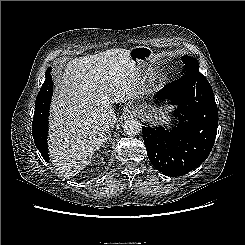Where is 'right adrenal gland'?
Instances as JSON below:
<instances>
[{"label": "right adrenal gland", "mask_w": 245, "mask_h": 245, "mask_svg": "<svg viewBox=\"0 0 245 245\" xmlns=\"http://www.w3.org/2000/svg\"><path fill=\"white\" fill-rule=\"evenodd\" d=\"M110 137H111V133L109 132L108 135H107L106 141L107 140L111 141V138Z\"/></svg>", "instance_id": "right-adrenal-gland-1"}]
</instances>
